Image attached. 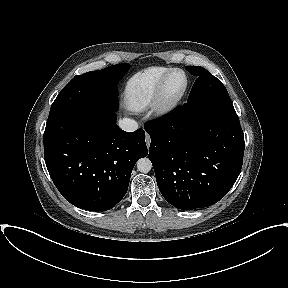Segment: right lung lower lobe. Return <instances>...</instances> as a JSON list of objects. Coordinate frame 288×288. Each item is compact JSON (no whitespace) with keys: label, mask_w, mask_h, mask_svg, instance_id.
Here are the masks:
<instances>
[{"label":"right lung lower lobe","mask_w":288,"mask_h":288,"mask_svg":"<svg viewBox=\"0 0 288 288\" xmlns=\"http://www.w3.org/2000/svg\"><path fill=\"white\" fill-rule=\"evenodd\" d=\"M147 156L143 129L125 132L114 111L93 108L46 124L44 158L50 177L71 204L106 211L122 200L135 163Z\"/></svg>","instance_id":"1"}]
</instances>
